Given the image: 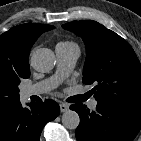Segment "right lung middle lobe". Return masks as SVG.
Returning <instances> with one entry per match:
<instances>
[{"label": "right lung middle lobe", "mask_w": 141, "mask_h": 141, "mask_svg": "<svg viewBox=\"0 0 141 141\" xmlns=\"http://www.w3.org/2000/svg\"><path fill=\"white\" fill-rule=\"evenodd\" d=\"M29 76V73L0 72V105H4L12 100H18L20 79L28 78Z\"/></svg>", "instance_id": "obj_1"}]
</instances>
